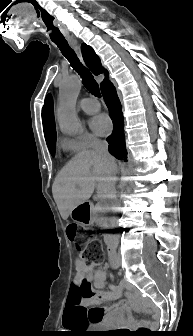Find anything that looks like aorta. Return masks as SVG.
I'll return each mask as SVG.
<instances>
[{
    "label": "aorta",
    "mask_w": 193,
    "mask_h": 336,
    "mask_svg": "<svg viewBox=\"0 0 193 336\" xmlns=\"http://www.w3.org/2000/svg\"><path fill=\"white\" fill-rule=\"evenodd\" d=\"M80 89L81 81L77 76H70L64 79L59 87L57 118L61 131L68 135H76L81 128V123L75 110Z\"/></svg>",
    "instance_id": "obj_1"
}]
</instances>
